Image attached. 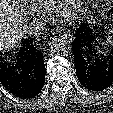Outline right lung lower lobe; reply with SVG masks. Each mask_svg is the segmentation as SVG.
Masks as SVG:
<instances>
[{"instance_id":"98d812e1","label":"right lung lower lobe","mask_w":113,"mask_h":113,"mask_svg":"<svg viewBox=\"0 0 113 113\" xmlns=\"http://www.w3.org/2000/svg\"><path fill=\"white\" fill-rule=\"evenodd\" d=\"M43 53L32 38L22 41L15 59L0 57V83L14 96L29 99L37 96L45 82Z\"/></svg>"}]
</instances>
